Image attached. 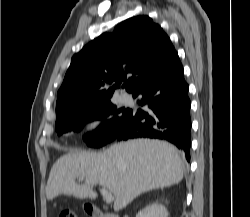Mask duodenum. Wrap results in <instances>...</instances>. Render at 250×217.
I'll return each instance as SVG.
<instances>
[{"label": "duodenum", "instance_id": "1", "mask_svg": "<svg viewBox=\"0 0 250 217\" xmlns=\"http://www.w3.org/2000/svg\"><path fill=\"white\" fill-rule=\"evenodd\" d=\"M85 210L90 217H119L114 214L106 213L93 204H87Z\"/></svg>", "mask_w": 250, "mask_h": 217}]
</instances>
